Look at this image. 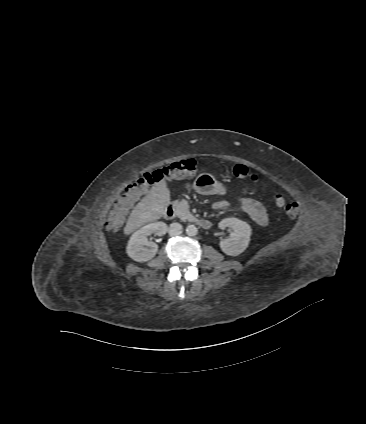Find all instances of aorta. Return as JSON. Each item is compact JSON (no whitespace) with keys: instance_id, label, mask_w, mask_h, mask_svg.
<instances>
[{"instance_id":"obj_1","label":"aorta","mask_w":366,"mask_h":424,"mask_svg":"<svg viewBox=\"0 0 366 424\" xmlns=\"http://www.w3.org/2000/svg\"><path fill=\"white\" fill-rule=\"evenodd\" d=\"M198 233V228L195 225H188L186 227V234L188 236H195Z\"/></svg>"}]
</instances>
